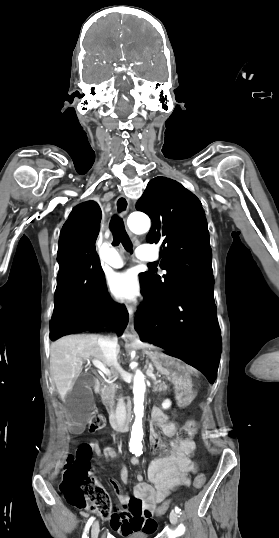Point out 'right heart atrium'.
<instances>
[{
    "instance_id": "d8ad5b80",
    "label": "right heart atrium",
    "mask_w": 279,
    "mask_h": 538,
    "mask_svg": "<svg viewBox=\"0 0 279 538\" xmlns=\"http://www.w3.org/2000/svg\"><path fill=\"white\" fill-rule=\"evenodd\" d=\"M132 232L137 234V235H141V234L144 233V229L143 228H135V229H132ZM103 308H104V311H105V313L107 315H112L115 312V306H114L113 302L108 298L105 299L104 304H103Z\"/></svg>"
}]
</instances>
